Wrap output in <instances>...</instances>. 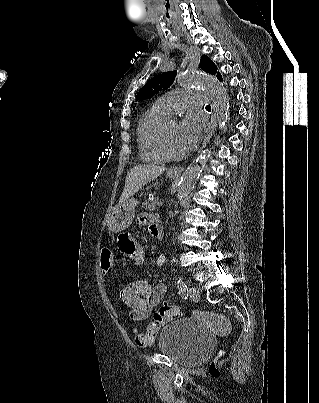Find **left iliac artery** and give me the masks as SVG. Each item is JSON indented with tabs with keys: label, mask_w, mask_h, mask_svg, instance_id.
<instances>
[{
	"label": "left iliac artery",
	"mask_w": 319,
	"mask_h": 403,
	"mask_svg": "<svg viewBox=\"0 0 319 403\" xmlns=\"http://www.w3.org/2000/svg\"><path fill=\"white\" fill-rule=\"evenodd\" d=\"M178 284V289H179V293L181 294L182 298H187L188 297V288L187 285L185 284V282L183 281L182 278H179V280L177 281Z\"/></svg>",
	"instance_id": "44dca946"
}]
</instances>
